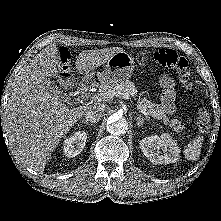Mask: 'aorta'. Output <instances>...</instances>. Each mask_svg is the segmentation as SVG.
Wrapping results in <instances>:
<instances>
[{
  "instance_id": "1",
  "label": "aorta",
  "mask_w": 221,
  "mask_h": 221,
  "mask_svg": "<svg viewBox=\"0 0 221 221\" xmlns=\"http://www.w3.org/2000/svg\"><path fill=\"white\" fill-rule=\"evenodd\" d=\"M128 129L126 119L119 114L111 115L107 120V131L112 135L125 134Z\"/></svg>"
}]
</instances>
